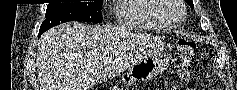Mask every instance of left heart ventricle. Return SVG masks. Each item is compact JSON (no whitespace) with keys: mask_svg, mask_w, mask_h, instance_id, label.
Returning a JSON list of instances; mask_svg holds the SVG:
<instances>
[{"mask_svg":"<svg viewBox=\"0 0 237 90\" xmlns=\"http://www.w3.org/2000/svg\"><path fill=\"white\" fill-rule=\"evenodd\" d=\"M178 18H179V16H177L176 19H167V21H168L169 23H171V24H174V23L177 22Z\"/></svg>","mask_w":237,"mask_h":90,"instance_id":"left-heart-ventricle-1","label":"left heart ventricle"}]
</instances>
